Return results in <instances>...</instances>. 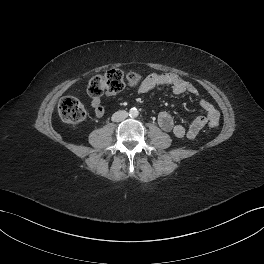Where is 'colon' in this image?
Masks as SVG:
<instances>
[{
	"instance_id": "colon-1",
	"label": "colon",
	"mask_w": 264,
	"mask_h": 264,
	"mask_svg": "<svg viewBox=\"0 0 264 264\" xmlns=\"http://www.w3.org/2000/svg\"><path fill=\"white\" fill-rule=\"evenodd\" d=\"M140 82V76L135 73L125 74L120 70L112 69L104 75H97L90 79L87 92L91 97H99L104 92L115 94L122 91L127 85L135 86ZM58 112L61 119L68 124H78L86 117V110L83 104L76 98L63 97L58 105ZM208 126L215 129L218 121H210Z\"/></svg>"
}]
</instances>
